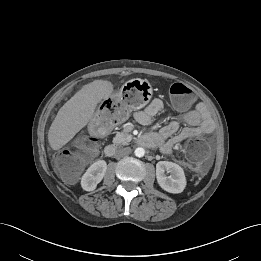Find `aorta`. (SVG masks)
Returning <instances> with one entry per match:
<instances>
[{
	"mask_svg": "<svg viewBox=\"0 0 261 261\" xmlns=\"http://www.w3.org/2000/svg\"><path fill=\"white\" fill-rule=\"evenodd\" d=\"M134 154L137 157H143L144 154H145V150L142 147H138V148L135 149Z\"/></svg>",
	"mask_w": 261,
	"mask_h": 261,
	"instance_id": "762f6f07",
	"label": "aorta"
}]
</instances>
